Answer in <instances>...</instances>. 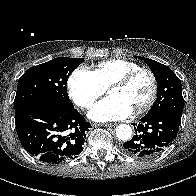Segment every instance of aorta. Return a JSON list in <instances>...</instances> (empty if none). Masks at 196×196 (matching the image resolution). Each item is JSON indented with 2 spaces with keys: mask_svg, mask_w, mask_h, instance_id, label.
<instances>
[{
  "mask_svg": "<svg viewBox=\"0 0 196 196\" xmlns=\"http://www.w3.org/2000/svg\"><path fill=\"white\" fill-rule=\"evenodd\" d=\"M116 136L119 140L127 141L132 136V128L130 125L127 124H120L116 128Z\"/></svg>",
  "mask_w": 196,
  "mask_h": 196,
  "instance_id": "1",
  "label": "aorta"
}]
</instances>
